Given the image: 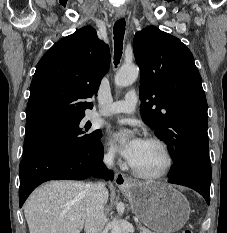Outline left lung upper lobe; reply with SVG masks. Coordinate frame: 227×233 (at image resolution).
Segmentation results:
<instances>
[{"instance_id":"5c2ea615","label":"left lung upper lobe","mask_w":227,"mask_h":233,"mask_svg":"<svg viewBox=\"0 0 227 233\" xmlns=\"http://www.w3.org/2000/svg\"><path fill=\"white\" fill-rule=\"evenodd\" d=\"M133 51L141 71V116L169 147L170 175L211 182L207 101L191 51L154 26L136 33Z\"/></svg>"}]
</instances>
